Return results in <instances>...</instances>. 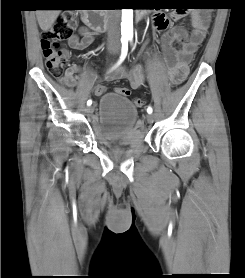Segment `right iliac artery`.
<instances>
[{
    "label": "right iliac artery",
    "instance_id": "obj_1",
    "mask_svg": "<svg viewBox=\"0 0 245 278\" xmlns=\"http://www.w3.org/2000/svg\"><path fill=\"white\" fill-rule=\"evenodd\" d=\"M121 43H122V50H121V57H120V60H119L118 64H120L127 55V52H128V38H121ZM91 104H92V101L88 100L87 105L90 106Z\"/></svg>",
    "mask_w": 245,
    "mask_h": 278
}]
</instances>
